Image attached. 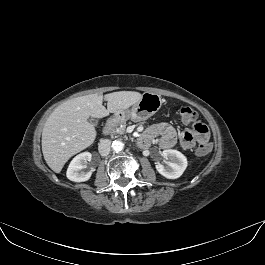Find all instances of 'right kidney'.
<instances>
[{"instance_id":"obj_1","label":"right kidney","mask_w":265,"mask_h":265,"mask_svg":"<svg viewBox=\"0 0 265 265\" xmlns=\"http://www.w3.org/2000/svg\"><path fill=\"white\" fill-rule=\"evenodd\" d=\"M92 154L90 152H83L73 158L68 166L66 176L69 180L74 182H83L90 179L91 171L85 170L87 164L91 161Z\"/></svg>"}]
</instances>
